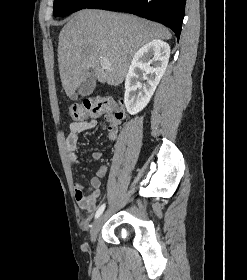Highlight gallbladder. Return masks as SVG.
I'll return each mask as SVG.
<instances>
[{
  "instance_id": "obj_1",
  "label": "gallbladder",
  "mask_w": 247,
  "mask_h": 280,
  "mask_svg": "<svg viewBox=\"0 0 247 280\" xmlns=\"http://www.w3.org/2000/svg\"><path fill=\"white\" fill-rule=\"evenodd\" d=\"M95 89V76H94V72H90L85 80L82 82V85L79 89V94L81 96H88L90 95ZM76 95H73L71 97V99H76Z\"/></svg>"
}]
</instances>
